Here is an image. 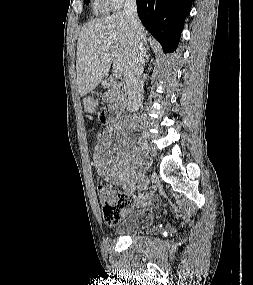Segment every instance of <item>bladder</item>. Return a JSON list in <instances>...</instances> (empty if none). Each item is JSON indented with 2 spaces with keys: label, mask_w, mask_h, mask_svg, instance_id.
I'll use <instances>...</instances> for the list:
<instances>
[{
  "label": "bladder",
  "mask_w": 253,
  "mask_h": 285,
  "mask_svg": "<svg viewBox=\"0 0 253 285\" xmlns=\"http://www.w3.org/2000/svg\"><path fill=\"white\" fill-rule=\"evenodd\" d=\"M157 217V212L152 209H130L115 226V233L120 236H132L143 232L155 224Z\"/></svg>",
  "instance_id": "31cf9c89"
}]
</instances>
